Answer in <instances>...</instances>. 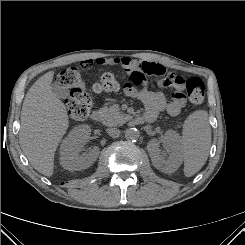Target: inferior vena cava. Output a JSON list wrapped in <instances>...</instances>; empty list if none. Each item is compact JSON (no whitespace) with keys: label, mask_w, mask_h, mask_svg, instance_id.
<instances>
[{"label":"inferior vena cava","mask_w":245,"mask_h":245,"mask_svg":"<svg viewBox=\"0 0 245 245\" xmlns=\"http://www.w3.org/2000/svg\"><path fill=\"white\" fill-rule=\"evenodd\" d=\"M107 133L113 138H118L121 134L120 130L117 128H108Z\"/></svg>","instance_id":"inferior-vena-cava-1"}]
</instances>
